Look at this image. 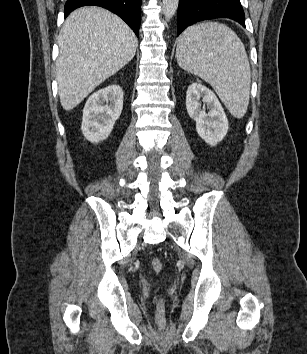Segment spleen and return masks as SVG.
Wrapping results in <instances>:
<instances>
[{"mask_svg":"<svg viewBox=\"0 0 307 354\" xmlns=\"http://www.w3.org/2000/svg\"><path fill=\"white\" fill-rule=\"evenodd\" d=\"M179 66L208 82L235 118L247 112L251 69L245 47L226 25L205 22L188 27L178 38Z\"/></svg>","mask_w":307,"mask_h":354,"instance_id":"3e777b00","label":"spleen"}]
</instances>
